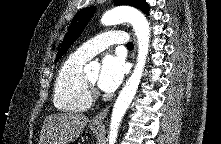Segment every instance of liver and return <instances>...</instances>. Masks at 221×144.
<instances>
[{
	"label": "liver",
	"instance_id": "obj_1",
	"mask_svg": "<svg viewBox=\"0 0 221 144\" xmlns=\"http://www.w3.org/2000/svg\"><path fill=\"white\" fill-rule=\"evenodd\" d=\"M88 123V117L75 112L49 115L44 121L40 144H69L75 141Z\"/></svg>",
	"mask_w": 221,
	"mask_h": 144
}]
</instances>
